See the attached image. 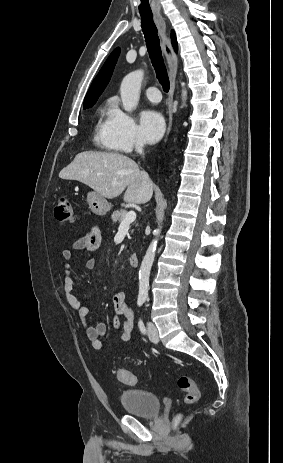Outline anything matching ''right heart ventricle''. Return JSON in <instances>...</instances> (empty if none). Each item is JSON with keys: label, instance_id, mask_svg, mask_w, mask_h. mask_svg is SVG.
<instances>
[{"label": "right heart ventricle", "instance_id": "e07e8e85", "mask_svg": "<svg viewBox=\"0 0 283 463\" xmlns=\"http://www.w3.org/2000/svg\"><path fill=\"white\" fill-rule=\"evenodd\" d=\"M112 108H106L102 111L100 121L96 125L95 139L104 149L108 151H116L117 145L110 137L109 132V118Z\"/></svg>", "mask_w": 283, "mask_h": 463}]
</instances>
